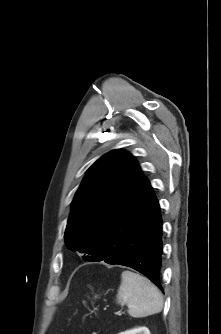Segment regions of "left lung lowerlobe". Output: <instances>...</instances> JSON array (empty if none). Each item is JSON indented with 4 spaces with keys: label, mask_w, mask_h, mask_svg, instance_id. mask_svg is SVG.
<instances>
[{
    "label": "left lung lower lobe",
    "mask_w": 221,
    "mask_h": 334,
    "mask_svg": "<svg viewBox=\"0 0 221 334\" xmlns=\"http://www.w3.org/2000/svg\"><path fill=\"white\" fill-rule=\"evenodd\" d=\"M162 249L159 203L144 178L104 232L93 261L131 267L162 290Z\"/></svg>",
    "instance_id": "1"
}]
</instances>
